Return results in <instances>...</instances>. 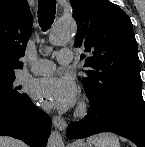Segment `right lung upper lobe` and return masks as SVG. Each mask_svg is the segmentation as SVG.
Returning <instances> with one entry per match:
<instances>
[{"label":"right lung upper lobe","instance_id":"right-lung-upper-lobe-1","mask_svg":"<svg viewBox=\"0 0 145 147\" xmlns=\"http://www.w3.org/2000/svg\"><path fill=\"white\" fill-rule=\"evenodd\" d=\"M33 17L27 0H0V75L21 69Z\"/></svg>","mask_w":145,"mask_h":147}]
</instances>
